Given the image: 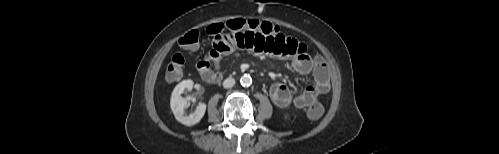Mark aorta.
Here are the masks:
<instances>
[{
	"mask_svg": "<svg viewBox=\"0 0 499 154\" xmlns=\"http://www.w3.org/2000/svg\"><path fill=\"white\" fill-rule=\"evenodd\" d=\"M240 83L244 87L250 86L252 84V78H251V76L247 75V74L243 75L241 77V79H240Z\"/></svg>",
	"mask_w": 499,
	"mask_h": 154,
	"instance_id": "762f6f07",
	"label": "aorta"
}]
</instances>
